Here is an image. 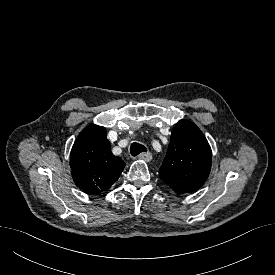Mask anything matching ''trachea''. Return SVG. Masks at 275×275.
Masks as SVG:
<instances>
[{
    "mask_svg": "<svg viewBox=\"0 0 275 275\" xmlns=\"http://www.w3.org/2000/svg\"><path fill=\"white\" fill-rule=\"evenodd\" d=\"M146 151H147V148L144 145L139 143H132L130 147V152L132 156H137L138 154Z\"/></svg>",
    "mask_w": 275,
    "mask_h": 275,
    "instance_id": "trachea-1",
    "label": "trachea"
}]
</instances>
